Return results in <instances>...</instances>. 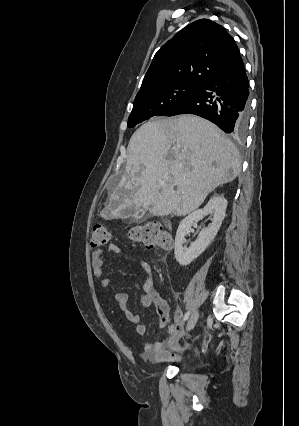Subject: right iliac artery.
<instances>
[{
  "label": "right iliac artery",
  "instance_id": "1",
  "mask_svg": "<svg viewBox=\"0 0 299 426\" xmlns=\"http://www.w3.org/2000/svg\"><path fill=\"white\" fill-rule=\"evenodd\" d=\"M190 312H186L183 318V322H185L189 318Z\"/></svg>",
  "mask_w": 299,
  "mask_h": 426
}]
</instances>
